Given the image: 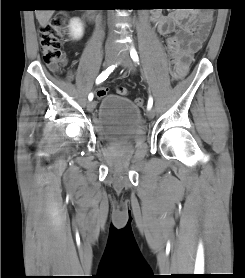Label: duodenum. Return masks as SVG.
Listing matches in <instances>:
<instances>
[{
	"mask_svg": "<svg viewBox=\"0 0 245 278\" xmlns=\"http://www.w3.org/2000/svg\"><path fill=\"white\" fill-rule=\"evenodd\" d=\"M88 19L90 20V22L95 23L97 21V17L94 14H91L88 16Z\"/></svg>",
	"mask_w": 245,
	"mask_h": 278,
	"instance_id": "duodenum-1",
	"label": "duodenum"
}]
</instances>
